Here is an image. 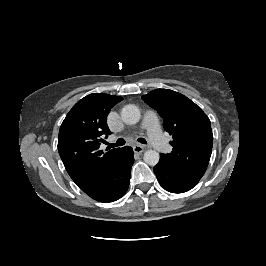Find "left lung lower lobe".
Masks as SVG:
<instances>
[{
    "mask_svg": "<svg viewBox=\"0 0 266 266\" xmlns=\"http://www.w3.org/2000/svg\"><path fill=\"white\" fill-rule=\"evenodd\" d=\"M154 173L160 185L168 192L184 193L192 189L204 173L183 172L171 167L162 158L154 167Z\"/></svg>",
    "mask_w": 266,
    "mask_h": 266,
    "instance_id": "obj_1",
    "label": "left lung lower lobe"
}]
</instances>
